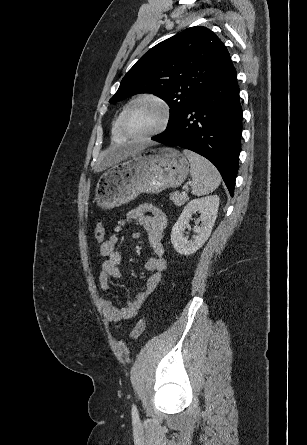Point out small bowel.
Instances as JSON below:
<instances>
[{"label":"small bowel","instance_id":"small-bowel-1","mask_svg":"<svg viewBox=\"0 0 307 445\" xmlns=\"http://www.w3.org/2000/svg\"><path fill=\"white\" fill-rule=\"evenodd\" d=\"M136 222L147 233L152 256L146 261L145 268L151 272L146 286L140 290L134 299L127 302L124 307H117L112 300L102 298L100 305L104 317L113 323H119L134 317L148 297L159 285L163 272L166 269L165 248L163 240L167 228V216L157 207L142 205L128 211L124 218L118 222L115 233L105 240L100 246V254L104 257L98 282L103 291L111 290L110 279H119L121 271L119 265L122 260V252L118 248V232L126 223Z\"/></svg>","mask_w":307,"mask_h":445}]
</instances>
